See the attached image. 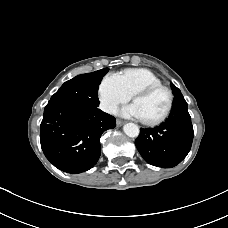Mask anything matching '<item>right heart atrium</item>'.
<instances>
[{
  "instance_id": "1",
  "label": "right heart atrium",
  "mask_w": 228,
  "mask_h": 228,
  "mask_svg": "<svg viewBox=\"0 0 228 228\" xmlns=\"http://www.w3.org/2000/svg\"><path fill=\"white\" fill-rule=\"evenodd\" d=\"M131 96L124 89L118 74H107L99 83L98 100L100 108L113 113L120 105L128 102Z\"/></svg>"
}]
</instances>
